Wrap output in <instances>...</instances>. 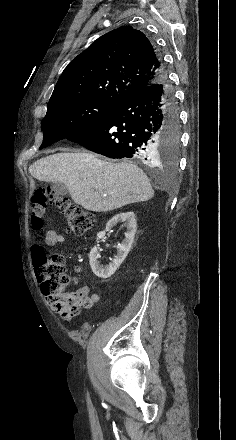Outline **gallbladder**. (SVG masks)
Masks as SVG:
<instances>
[{"label":"gallbladder","instance_id":"1","mask_svg":"<svg viewBox=\"0 0 236 440\" xmlns=\"http://www.w3.org/2000/svg\"><path fill=\"white\" fill-rule=\"evenodd\" d=\"M51 188L53 189V191H55L56 194L61 196L67 195L69 193L66 185L62 182H52Z\"/></svg>","mask_w":236,"mask_h":440}]
</instances>
